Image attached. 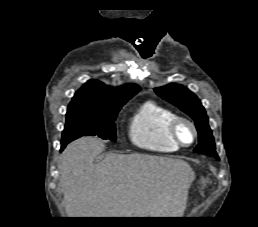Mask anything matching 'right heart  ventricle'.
Here are the masks:
<instances>
[{
	"label": "right heart ventricle",
	"instance_id": "e07e8e85",
	"mask_svg": "<svg viewBox=\"0 0 258 227\" xmlns=\"http://www.w3.org/2000/svg\"><path fill=\"white\" fill-rule=\"evenodd\" d=\"M176 115L154 101L142 103L134 112L129 123V136L132 143L147 151L172 153L179 146L170 137L168 126Z\"/></svg>",
	"mask_w": 258,
	"mask_h": 227
}]
</instances>
